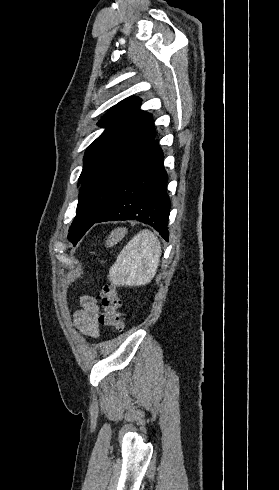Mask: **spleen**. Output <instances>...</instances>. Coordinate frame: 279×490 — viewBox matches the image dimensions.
<instances>
[{
  "label": "spleen",
  "instance_id": "obj_1",
  "mask_svg": "<svg viewBox=\"0 0 279 490\" xmlns=\"http://www.w3.org/2000/svg\"><path fill=\"white\" fill-rule=\"evenodd\" d=\"M126 234V228H117L107 240V248L115 246ZM161 256L160 242L154 232L142 230L120 252L109 270L114 286H146L153 280Z\"/></svg>",
  "mask_w": 279,
  "mask_h": 490
}]
</instances>
